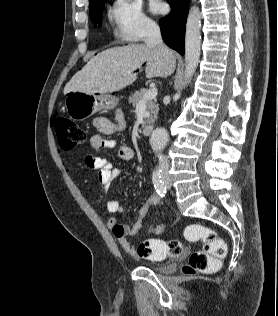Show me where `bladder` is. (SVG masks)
Wrapping results in <instances>:
<instances>
[{
	"label": "bladder",
	"instance_id": "1",
	"mask_svg": "<svg viewBox=\"0 0 278 316\" xmlns=\"http://www.w3.org/2000/svg\"><path fill=\"white\" fill-rule=\"evenodd\" d=\"M143 266L157 273H169L173 270V264L144 263Z\"/></svg>",
	"mask_w": 278,
	"mask_h": 316
}]
</instances>
